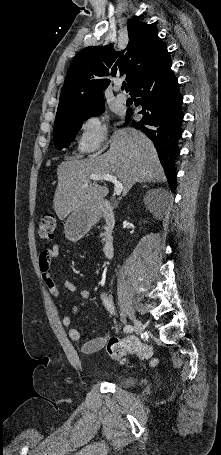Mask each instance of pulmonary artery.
I'll use <instances>...</instances> for the list:
<instances>
[{
    "label": "pulmonary artery",
    "instance_id": "1",
    "mask_svg": "<svg viewBox=\"0 0 221 455\" xmlns=\"http://www.w3.org/2000/svg\"><path fill=\"white\" fill-rule=\"evenodd\" d=\"M117 101L120 103H125L127 101V96L123 93H117Z\"/></svg>",
    "mask_w": 221,
    "mask_h": 455
}]
</instances>
